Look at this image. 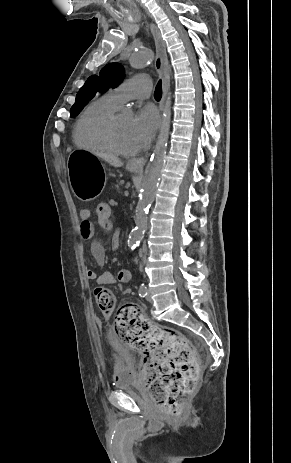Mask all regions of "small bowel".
Returning <instances> with one entry per match:
<instances>
[{
    "label": "small bowel",
    "mask_w": 291,
    "mask_h": 463,
    "mask_svg": "<svg viewBox=\"0 0 291 463\" xmlns=\"http://www.w3.org/2000/svg\"><path fill=\"white\" fill-rule=\"evenodd\" d=\"M79 217L80 238L83 241H90V253L97 265L103 267L106 260V251L103 244L99 240L93 238L94 226L91 222L90 209L82 208L79 211ZM101 227L107 231H110L113 228V224L111 226ZM120 238L121 233L119 231H114L112 233L111 247L114 250H117L120 247ZM85 276L87 280L93 281L99 285H112L117 281L120 283H128L131 280V273L126 269L119 271L117 277H115L113 273L108 270H103L101 273H97L94 270H87Z\"/></svg>",
    "instance_id": "1"
}]
</instances>
